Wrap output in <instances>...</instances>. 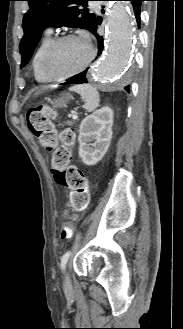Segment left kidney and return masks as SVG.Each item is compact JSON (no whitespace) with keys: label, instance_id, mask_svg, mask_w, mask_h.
<instances>
[{"label":"left kidney","instance_id":"5707ae66","mask_svg":"<svg viewBox=\"0 0 183 329\" xmlns=\"http://www.w3.org/2000/svg\"><path fill=\"white\" fill-rule=\"evenodd\" d=\"M113 111L103 107L83 119L79 130V156L86 165H94L107 152L112 138ZM93 142V143H92Z\"/></svg>","mask_w":183,"mask_h":329}]
</instances>
